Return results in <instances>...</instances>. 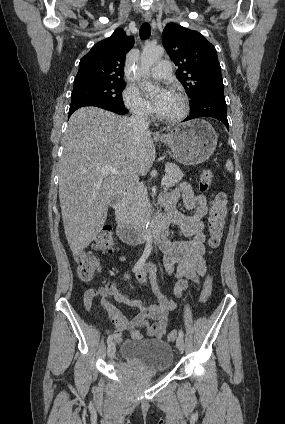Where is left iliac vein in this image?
Returning a JSON list of instances; mask_svg holds the SVG:
<instances>
[{
	"label": "left iliac vein",
	"instance_id": "left-iliac-vein-1",
	"mask_svg": "<svg viewBox=\"0 0 285 424\" xmlns=\"http://www.w3.org/2000/svg\"><path fill=\"white\" fill-rule=\"evenodd\" d=\"M176 346L180 351L184 350V340H183V338H181V337L177 338Z\"/></svg>",
	"mask_w": 285,
	"mask_h": 424
}]
</instances>
